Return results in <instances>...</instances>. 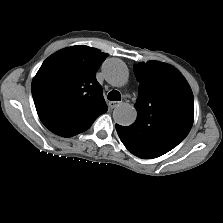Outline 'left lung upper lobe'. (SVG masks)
Returning a JSON list of instances; mask_svg holds the SVG:
<instances>
[{"label": "left lung upper lobe", "mask_w": 223, "mask_h": 223, "mask_svg": "<svg viewBox=\"0 0 223 223\" xmlns=\"http://www.w3.org/2000/svg\"><path fill=\"white\" fill-rule=\"evenodd\" d=\"M139 84L138 118L116 127L123 144L156 157L176 147L189 133L194 118L191 88L174 67L150 61L134 65Z\"/></svg>", "instance_id": "left-lung-upper-lobe-1"}]
</instances>
